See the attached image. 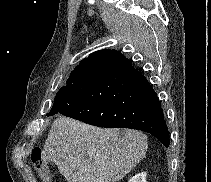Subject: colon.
Returning a JSON list of instances; mask_svg holds the SVG:
<instances>
[{
	"mask_svg": "<svg viewBox=\"0 0 211 182\" xmlns=\"http://www.w3.org/2000/svg\"><path fill=\"white\" fill-rule=\"evenodd\" d=\"M31 159L37 172L40 174L44 182H52L53 174L48 168L41 148L36 147L31 152Z\"/></svg>",
	"mask_w": 211,
	"mask_h": 182,
	"instance_id": "1",
	"label": "colon"
}]
</instances>
